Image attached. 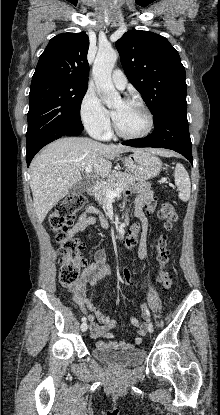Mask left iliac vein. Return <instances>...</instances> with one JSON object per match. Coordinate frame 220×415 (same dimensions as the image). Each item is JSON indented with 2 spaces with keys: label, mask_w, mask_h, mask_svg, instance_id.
Segmentation results:
<instances>
[{
  "label": "left iliac vein",
  "mask_w": 220,
  "mask_h": 415,
  "mask_svg": "<svg viewBox=\"0 0 220 415\" xmlns=\"http://www.w3.org/2000/svg\"><path fill=\"white\" fill-rule=\"evenodd\" d=\"M147 327H148V331H149L150 333H152V332H153V330H154L153 324H152L151 322H148Z\"/></svg>",
  "instance_id": "4c4485c4"
}]
</instances>
